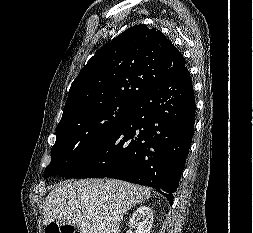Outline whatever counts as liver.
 <instances>
[{
  "mask_svg": "<svg viewBox=\"0 0 253 233\" xmlns=\"http://www.w3.org/2000/svg\"><path fill=\"white\" fill-rule=\"evenodd\" d=\"M150 189L114 179H82L57 186L43 206V224H76L80 233H119L124 214L148 199Z\"/></svg>",
  "mask_w": 253,
  "mask_h": 233,
  "instance_id": "liver-1",
  "label": "liver"
}]
</instances>
